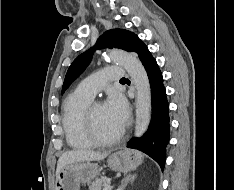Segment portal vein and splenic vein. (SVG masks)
I'll use <instances>...</instances> for the list:
<instances>
[{
    "label": "portal vein and splenic vein",
    "mask_w": 234,
    "mask_h": 190,
    "mask_svg": "<svg viewBox=\"0 0 234 190\" xmlns=\"http://www.w3.org/2000/svg\"><path fill=\"white\" fill-rule=\"evenodd\" d=\"M103 190H111V188L109 186H105Z\"/></svg>",
    "instance_id": "1"
}]
</instances>
